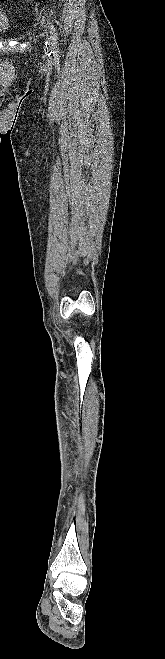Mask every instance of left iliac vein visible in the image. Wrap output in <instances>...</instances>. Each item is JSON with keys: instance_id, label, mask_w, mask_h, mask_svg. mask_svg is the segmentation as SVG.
<instances>
[{"instance_id": "1", "label": "left iliac vein", "mask_w": 165, "mask_h": 659, "mask_svg": "<svg viewBox=\"0 0 165 659\" xmlns=\"http://www.w3.org/2000/svg\"><path fill=\"white\" fill-rule=\"evenodd\" d=\"M52 40H53V37L48 35V36H47V41H48V43H51Z\"/></svg>"}]
</instances>
